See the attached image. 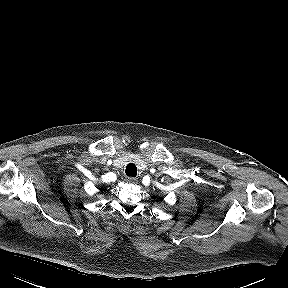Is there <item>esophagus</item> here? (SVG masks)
I'll use <instances>...</instances> for the list:
<instances>
[{
  "mask_svg": "<svg viewBox=\"0 0 288 288\" xmlns=\"http://www.w3.org/2000/svg\"><path fill=\"white\" fill-rule=\"evenodd\" d=\"M126 182H128V183H131V184H135V183H137V178H134V177H126Z\"/></svg>",
  "mask_w": 288,
  "mask_h": 288,
  "instance_id": "obj_1",
  "label": "esophagus"
}]
</instances>
